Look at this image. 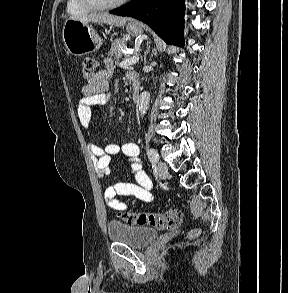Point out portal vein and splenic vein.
<instances>
[{
  "mask_svg": "<svg viewBox=\"0 0 288 293\" xmlns=\"http://www.w3.org/2000/svg\"><path fill=\"white\" fill-rule=\"evenodd\" d=\"M139 61V57L137 55H132L131 57L125 59L120 63V67H127L136 64Z\"/></svg>",
  "mask_w": 288,
  "mask_h": 293,
  "instance_id": "portal-vein-and-splenic-vein-1",
  "label": "portal vein and splenic vein"
}]
</instances>
